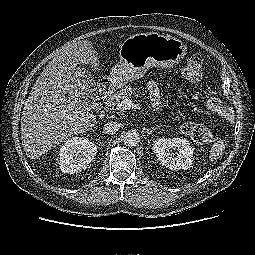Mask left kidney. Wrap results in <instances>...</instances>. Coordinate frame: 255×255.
Returning <instances> with one entry per match:
<instances>
[{"label": "left kidney", "mask_w": 255, "mask_h": 255, "mask_svg": "<svg viewBox=\"0 0 255 255\" xmlns=\"http://www.w3.org/2000/svg\"><path fill=\"white\" fill-rule=\"evenodd\" d=\"M172 149H177V156ZM153 150L160 164L173 171L187 170L192 166L193 148L185 138H160L154 141Z\"/></svg>", "instance_id": "obj_1"}]
</instances>
